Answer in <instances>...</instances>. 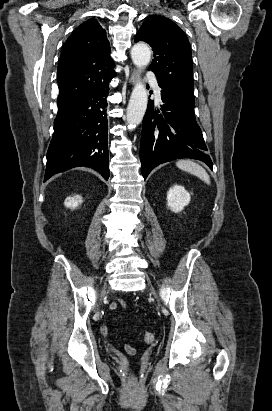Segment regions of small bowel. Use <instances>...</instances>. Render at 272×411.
Here are the masks:
<instances>
[{
    "label": "small bowel",
    "mask_w": 272,
    "mask_h": 411,
    "mask_svg": "<svg viewBox=\"0 0 272 411\" xmlns=\"http://www.w3.org/2000/svg\"><path fill=\"white\" fill-rule=\"evenodd\" d=\"M118 303H119V305H121V306L124 307V308L127 307V304H126V302H125L124 300H119ZM117 308H118V304H116V303H113V304H111V306H110V309H111V310H115V309H117ZM102 333H103V335H104L105 337L108 335L106 326H103V328H102ZM124 349H125V351H126L127 353H129V354L134 353V348L131 347L130 345H125V346H124ZM113 350H116V349L113 347Z\"/></svg>",
    "instance_id": "small-bowel-1"
}]
</instances>
